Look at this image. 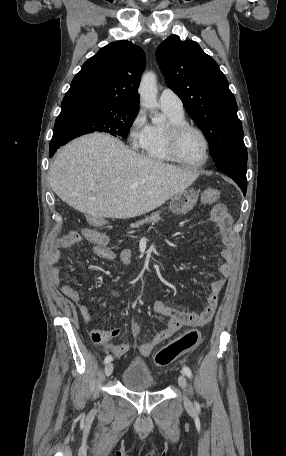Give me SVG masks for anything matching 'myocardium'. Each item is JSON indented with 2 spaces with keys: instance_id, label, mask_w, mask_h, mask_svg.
<instances>
[{
  "instance_id": "obj_1",
  "label": "myocardium",
  "mask_w": 286,
  "mask_h": 456,
  "mask_svg": "<svg viewBox=\"0 0 286 456\" xmlns=\"http://www.w3.org/2000/svg\"><path fill=\"white\" fill-rule=\"evenodd\" d=\"M187 130L196 131L202 137L205 143V157L200 162L187 161L180 155L178 151L179 138ZM164 135L167 152L174 161L190 167H201L209 161L211 154L210 141L206 133L200 127L191 124L187 121L169 122L165 127Z\"/></svg>"
}]
</instances>
